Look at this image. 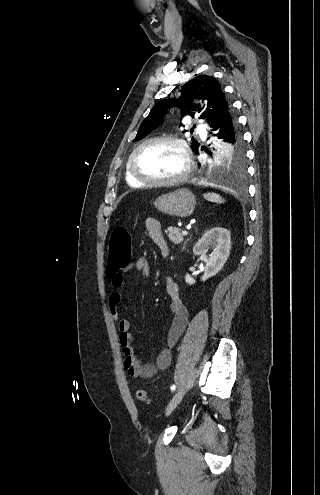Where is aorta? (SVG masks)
I'll return each instance as SVG.
<instances>
[{"label": "aorta", "instance_id": "obj_1", "mask_svg": "<svg viewBox=\"0 0 320 495\" xmlns=\"http://www.w3.org/2000/svg\"><path fill=\"white\" fill-rule=\"evenodd\" d=\"M212 180L214 181H222L221 178L217 177V176H212Z\"/></svg>", "mask_w": 320, "mask_h": 495}]
</instances>
